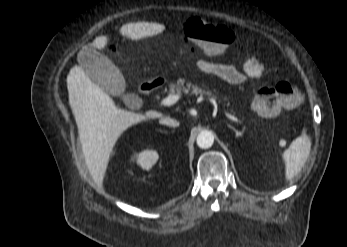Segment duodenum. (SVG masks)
<instances>
[{"label":"duodenum","mask_w":347,"mask_h":247,"mask_svg":"<svg viewBox=\"0 0 347 247\" xmlns=\"http://www.w3.org/2000/svg\"><path fill=\"white\" fill-rule=\"evenodd\" d=\"M162 84L161 80H153V81H147L142 83L139 86V91L142 94H150L151 92H153L156 88H158L160 85Z\"/></svg>","instance_id":"obj_1"}]
</instances>
